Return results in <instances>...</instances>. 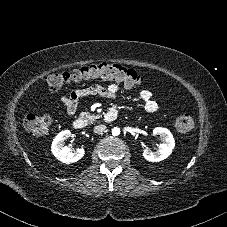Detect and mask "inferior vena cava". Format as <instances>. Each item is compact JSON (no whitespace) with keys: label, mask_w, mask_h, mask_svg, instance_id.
Returning <instances> with one entry per match:
<instances>
[{"label":"inferior vena cava","mask_w":227,"mask_h":227,"mask_svg":"<svg viewBox=\"0 0 227 227\" xmlns=\"http://www.w3.org/2000/svg\"><path fill=\"white\" fill-rule=\"evenodd\" d=\"M106 129L105 125H98L94 128L95 133H102Z\"/></svg>","instance_id":"1"}]
</instances>
